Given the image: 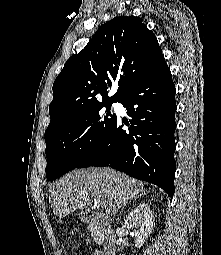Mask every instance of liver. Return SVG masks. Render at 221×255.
<instances>
[{"instance_id": "1", "label": "liver", "mask_w": 221, "mask_h": 255, "mask_svg": "<svg viewBox=\"0 0 221 255\" xmlns=\"http://www.w3.org/2000/svg\"><path fill=\"white\" fill-rule=\"evenodd\" d=\"M145 192L144 184L111 168L74 170L49 188L54 215L63 218L75 210L88 209L93 198L107 215H115L128 200Z\"/></svg>"}]
</instances>
